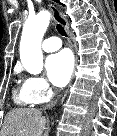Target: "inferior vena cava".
I'll return each instance as SVG.
<instances>
[{
  "mask_svg": "<svg viewBox=\"0 0 117 136\" xmlns=\"http://www.w3.org/2000/svg\"><path fill=\"white\" fill-rule=\"evenodd\" d=\"M58 97H59V96H58ZM57 102H58L57 99L51 101L49 104H47V105L44 107V109H50V108H52L53 106H55V105L57 104Z\"/></svg>",
  "mask_w": 117,
  "mask_h": 136,
  "instance_id": "obj_1",
  "label": "inferior vena cava"
}]
</instances>
